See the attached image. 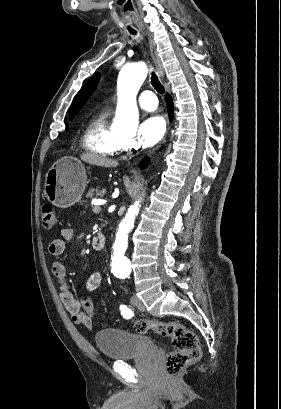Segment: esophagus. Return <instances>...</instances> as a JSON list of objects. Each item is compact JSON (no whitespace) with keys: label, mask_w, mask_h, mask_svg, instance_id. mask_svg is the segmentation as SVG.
Masks as SVG:
<instances>
[{"label":"esophagus","mask_w":281,"mask_h":409,"mask_svg":"<svg viewBox=\"0 0 281 409\" xmlns=\"http://www.w3.org/2000/svg\"><path fill=\"white\" fill-rule=\"evenodd\" d=\"M148 41H149V46H150V52H151L152 60H153V62H154V65H155V67H156V70H157L159 76H160L161 78H163L164 75H165V73H164V68H163V66H162V63H161L159 54H158V52H157L155 43L153 42V40H152L150 37L148 38Z\"/></svg>","instance_id":"34e87169"}]
</instances>
